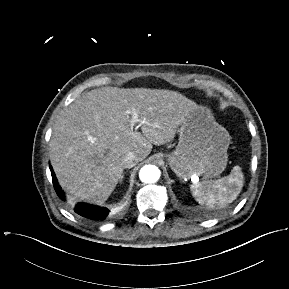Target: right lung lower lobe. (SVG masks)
Listing matches in <instances>:
<instances>
[{
  "label": "right lung lower lobe",
  "instance_id": "1",
  "mask_svg": "<svg viewBox=\"0 0 289 289\" xmlns=\"http://www.w3.org/2000/svg\"><path fill=\"white\" fill-rule=\"evenodd\" d=\"M51 174H52V180H53V185L54 188L58 194V196L62 199L65 200L63 191L61 190L60 186L57 183L55 174L52 170V167L50 166ZM74 211L87 219L93 220V221H103L106 219V217L109 214V210L104 207H99V206H94V205H89L86 203H77L74 206Z\"/></svg>",
  "mask_w": 289,
  "mask_h": 289
}]
</instances>
